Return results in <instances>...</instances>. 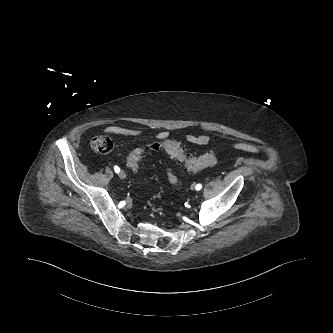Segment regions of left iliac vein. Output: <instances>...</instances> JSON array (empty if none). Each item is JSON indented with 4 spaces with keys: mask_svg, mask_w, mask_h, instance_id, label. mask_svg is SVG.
I'll use <instances>...</instances> for the list:
<instances>
[{
    "mask_svg": "<svg viewBox=\"0 0 333 333\" xmlns=\"http://www.w3.org/2000/svg\"><path fill=\"white\" fill-rule=\"evenodd\" d=\"M194 188H195V185H194V184H192V185H191V189H194Z\"/></svg>",
    "mask_w": 333,
    "mask_h": 333,
    "instance_id": "4c4485c4",
    "label": "left iliac vein"
}]
</instances>
